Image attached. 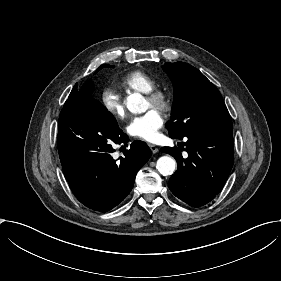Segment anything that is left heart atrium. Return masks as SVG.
<instances>
[{"mask_svg": "<svg viewBox=\"0 0 281 281\" xmlns=\"http://www.w3.org/2000/svg\"><path fill=\"white\" fill-rule=\"evenodd\" d=\"M164 126L162 115L154 109L134 117L126 126L128 134L146 142H157L161 138L160 130Z\"/></svg>", "mask_w": 281, "mask_h": 281, "instance_id": "1", "label": "left heart atrium"}]
</instances>
